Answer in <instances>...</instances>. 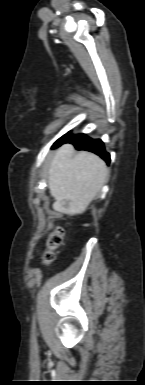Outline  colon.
I'll return each instance as SVG.
<instances>
[{
	"label": "colon",
	"instance_id": "1",
	"mask_svg": "<svg viewBox=\"0 0 145 385\" xmlns=\"http://www.w3.org/2000/svg\"><path fill=\"white\" fill-rule=\"evenodd\" d=\"M64 231L58 227L50 232L45 238V245L47 250L43 254V262L49 264L54 259V250L63 242Z\"/></svg>",
	"mask_w": 145,
	"mask_h": 385
}]
</instances>
